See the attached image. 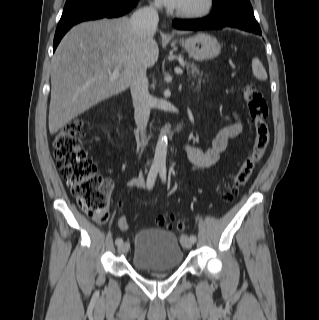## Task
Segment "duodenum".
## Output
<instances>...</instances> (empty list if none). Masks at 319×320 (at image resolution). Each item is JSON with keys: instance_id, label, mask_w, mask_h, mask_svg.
Returning <instances> with one entry per match:
<instances>
[{"instance_id": "obj_1", "label": "duodenum", "mask_w": 319, "mask_h": 320, "mask_svg": "<svg viewBox=\"0 0 319 320\" xmlns=\"http://www.w3.org/2000/svg\"><path fill=\"white\" fill-rule=\"evenodd\" d=\"M182 129H183V123H178L177 125L171 127L168 132H169L170 134H172V133H178V132H180Z\"/></svg>"}]
</instances>
